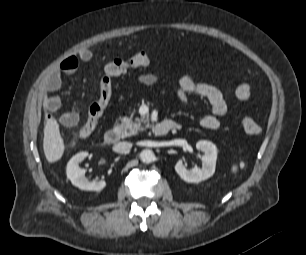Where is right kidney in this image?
Segmentation results:
<instances>
[{
  "label": "right kidney",
  "mask_w": 306,
  "mask_h": 255,
  "mask_svg": "<svg viewBox=\"0 0 306 255\" xmlns=\"http://www.w3.org/2000/svg\"><path fill=\"white\" fill-rule=\"evenodd\" d=\"M88 156L87 152H80L73 156L67 164L66 175L71 183L87 191H101L105 186L104 180L100 181H89L85 177V170L80 168L79 164Z\"/></svg>",
  "instance_id": "obj_1"
}]
</instances>
